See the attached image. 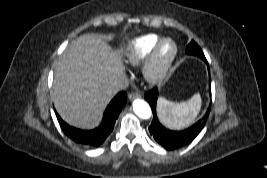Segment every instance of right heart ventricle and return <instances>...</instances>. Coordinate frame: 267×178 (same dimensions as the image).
<instances>
[{
  "label": "right heart ventricle",
  "mask_w": 267,
  "mask_h": 178,
  "mask_svg": "<svg viewBox=\"0 0 267 178\" xmlns=\"http://www.w3.org/2000/svg\"><path fill=\"white\" fill-rule=\"evenodd\" d=\"M161 39L157 34H146L131 40L123 50V58L132 65H139Z\"/></svg>",
  "instance_id": "1"
}]
</instances>
